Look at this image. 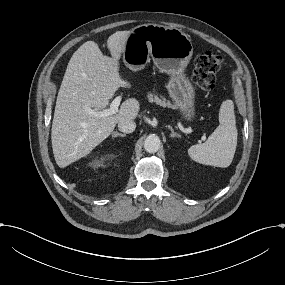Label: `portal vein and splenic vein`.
<instances>
[{
  "mask_svg": "<svg viewBox=\"0 0 285 285\" xmlns=\"http://www.w3.org/2000/svg\"><path fill=\"white\" fill-rule=\"evenodd\" d=\"M121 96H117L110 104V108L108 109H104L102 111H96L94 109L91 108H86V111L89 115L94 116V117H108L111 115H114L118 112V107L120 105L121 102Z\"/></svg>",
  "mask_w": 285,
  "mask_h": 285,
  "instance_id": "obj_1",
  "label": "portal vein and splenic vein"
}]
</instances>
